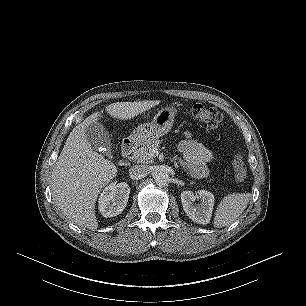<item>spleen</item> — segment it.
<instances>
[{
	"instance_id": "3e777b00",
	"label": "spleen",
	"mask_w": 306,
	"mask_h": 306,
	"mask_svg": "<svg viewBox=\"0 0 306 306\" xmlns=\"http://www.w3.org/2000/svg\"><path fill=\"white\" fill-rule=\"evenodd\" d=\"M250 198V193H232L225 196L217 207L213 226L222 228L233 223L246 209Z\"/></svg>"
}]
</instances>
